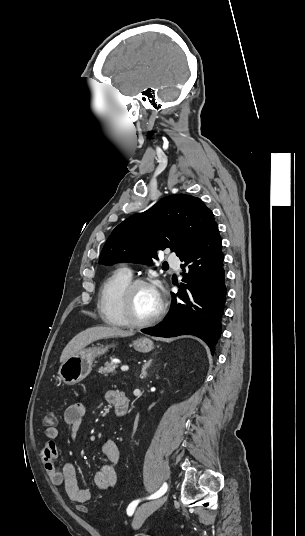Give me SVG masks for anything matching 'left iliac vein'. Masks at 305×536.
<instances>
[{
	"instance_id": "left-iliac-vein-1",
	"label": "left iliac vein",
	"mask_w": 305,
	"mask_h": 536,
	"mask_svg": "<svg viewBox=\"0 0 305 536\" xmlns=\"http://www.w3.org/2000/svg\"><path fill=\"white\" fill-rule=\"evenodd\" d=\"M167 500V496L160 497L159 499L153 500L148 503H144L141 506H139L135 512L132 526L133 528L137 529L139 528L142 523H144L145 519L153 513L156 509L160 508L165 501Z\"/></svg>"
}]
</instances>
